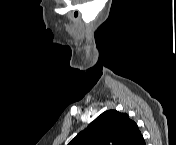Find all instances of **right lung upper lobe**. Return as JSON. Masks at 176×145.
<instances>
[{
    "instance_id": "cb5924a9",
    "label": "right lung upper lobe",
    "mask_w": 176,
    "mask_h": 145,
    "mask_svg": "<svg viewBox=\"0 0 176 145\" xmlns=\"http://www.w3.org/2000/svg\"><path fill=\"white\" fill-rule=\"evenodd\" d=\"M69 145H145V141L127 114L109 110L91 122Z\"/></svg>"
}]
</instances>
